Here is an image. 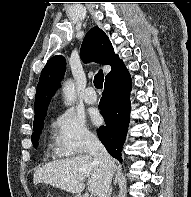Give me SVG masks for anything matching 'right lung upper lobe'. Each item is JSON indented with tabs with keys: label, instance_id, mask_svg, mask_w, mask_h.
<instances>
[{
	"label": "right lung upper lobe",
	"instance_id": "1",
	"mask_svg": "<svg viewBox=\"0 0 191 197\" xmlns=\"http://www.w3.org/2000/svg\"><path fill=\"white\" fill-rule=\"evenodd\" d=\"M80 57L84 63L94 61L104 65H111L112 71L107 74L105 80L126 70L122 60L114 53L109 38L97 26L87 32L81 46ZM65 67V58L57 55L49 59L43 68L37 85L33 126L44 121L50 100L63 79Z\"/></svg>",
	"mask_w": 191,
	"mask_h": 197
}]
</instances>
